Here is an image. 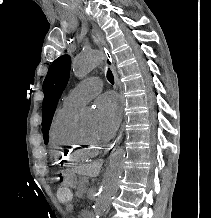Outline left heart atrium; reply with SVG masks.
Returning a JSON list of instances; mask_svg holds the SVG:
<instances>
[{"label":"left heart atrium","instance_id":"obj_1","mask_svg":"<svg viewBox=\"0 0 211 218\" xmlns=\"http://www.w3.org/2000/svg\"><path fill=\"white\" fill-rule=\"evenodd\" d=\"M95 107L98 114V135L103 139H110L118 130L121 110L117 97L112 92L100 95Z\"/></svg>","mask_w":211,"mask_h":218}]
</instances>
